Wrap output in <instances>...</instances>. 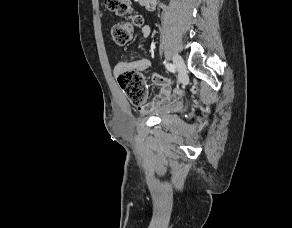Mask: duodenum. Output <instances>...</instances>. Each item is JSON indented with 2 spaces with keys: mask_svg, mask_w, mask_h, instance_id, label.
Instances as JSON below:
<instances>
[{
  "mask_svg": "<svg viewBox=\"0 0 292 228\" xmlns=\"http://www.w3.org/2000/svg\"><path fill=\"white\" fill-rule=\"evenodd\" d=\"M147 10H154L157 5V0H138Z\"/></svg>",
  "mask_w": 292,
  "mask_h": 228,
  "instance_id": "obj_1",
  "label": "duodenum"
}]
</instances>
